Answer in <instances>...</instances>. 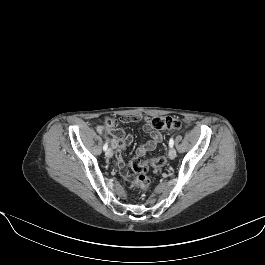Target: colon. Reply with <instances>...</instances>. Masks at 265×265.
<instances>
[{
  "label": "colon",
  "instance_id": "colon-1",
  "mask_svg": "<svg viewBox=\"0 0 265 265\" xmlns=\"http://www.w3.org/2000/svg\"><path fill=\"white\" fill-rule=\"evenodd\" d=\"M112 119H106V123L110 126ZM151 126L157 130H180L184 127L183 122L177 117L162 116L156 117L151 121ZM166 162L164 156L153 157L150 159L133 158L129 162L131 169L137 174L133 185L143 191L149 189L151 180L147 176L149 169H160Z\"/></svg>",
  "mask_w": 265,
  "mask_h": 265
}]
</instances>
